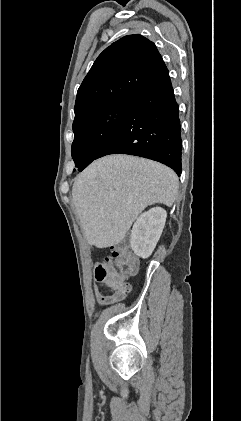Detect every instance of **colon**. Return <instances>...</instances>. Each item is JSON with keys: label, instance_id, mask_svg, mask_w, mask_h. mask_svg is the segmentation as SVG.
<instances>
[{"label": "colon", "instance_id": "1", "mask_svg": "<svg viewBox=\"0 0 241 421\" xmlns=\"http://www.w3.org/2000/svg\"><path fill=\"white\" fill-rule=\"evenodd\" d=\"M138 261L125 247H115L95 268V277L114 287H127V278L136 272Z\"/></svg>", "mask_w": 241, "mask_h": 421}]
</instances>
